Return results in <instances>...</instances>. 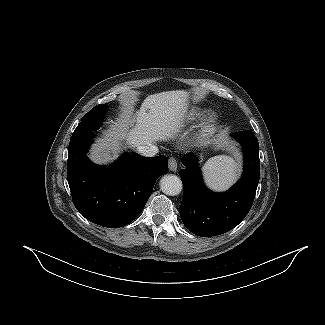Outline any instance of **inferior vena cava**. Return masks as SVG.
I'll return each mask as SVG.
<instances>
[{
	"instance_id": "1",
	"label": "inferior vena cava",
	"mask_w": 325,
	"mask_h": 325,
	"mask_svg": "<svg viewBox=\"0 0 325 325\" xmlns=\"http://www.w3.org/2000/svg\"><path fill=\"white\" fill-rule=\"evenodd\" d=\"M138 152L145 157H153L158 153V148L155 145L139 146Z\"/></svg>"
}]
</instances>
